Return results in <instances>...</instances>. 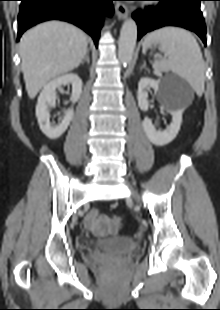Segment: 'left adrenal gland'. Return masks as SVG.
Here are the masks:
<instances>
[{"mask_svg": "<svg viewBox=\"0 0 220 310\" xmlns=\"http://www.w3.org/2000/svg\"><path fill=\"white\" fill-rule=\"evenodd\" d=\"M142 69H147V68H146V62H145V61H144L143 65H142V67L140 68V70H142Z\"/></svg>", "mask_w": 220, "mask_h": 310, "instance_id": "a2214340", "label": "left adrenal gland"}]
</instances>
